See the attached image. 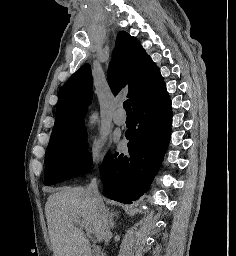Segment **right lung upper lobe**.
I'll use <instances>...</instances> for the list:
<instances>
[{"mask_svg":"<svg viewBox=\"0 0 236 256\" xmlns=\"http://www.w3.org/2000/svg\"><path fill=\"white\" fill-rule=\"evenodd\" d=\"M108 79L114 94L128 84L127 97L132 106L163 83L159 68L146 54L140 42L125 31H120L117 35ZM91 95V68L89 64H85L61 89L50 140L65 136L83 125Z\"/></svg>","mask_w":236,"mask_h":256,"instance_id":"obj_1","label":"right lung upper lobe"}]
</instances>
